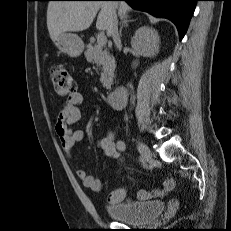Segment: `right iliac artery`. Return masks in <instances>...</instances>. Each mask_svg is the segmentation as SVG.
<instances>
[{"mask_svg":"<svg viewBox=\"0 0 231 231\" xmlns=\"http://www.w3.org/2000/svg\"><path fill=\"white\" fill-rule=\"evenodd\" d=\"M118 149L120 151H125L126 149V144L123 141H118Z\"/></svg>","mask_w":231,"mask_h":231,"instance_id":"1","label":"right iliac artery"}]
</instances>
